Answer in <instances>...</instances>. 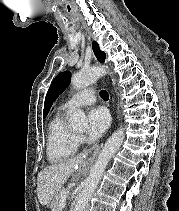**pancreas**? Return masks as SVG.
<instances>
[{
  "label": "pancreas",
  "mask_w": 179,
  "mask_h": 211,
  "mask_svg": "<svg viewBox=\"0 0 179 211\" xmlns=\"http://www.w3.org/2000/svg\"><path fill=\"white\" fill-rule=\"evenodd\" d=\"M63 191H68V189H62L60 191H58L55 196H54V199L52 201V204H51V208L53 209V211H59V208H60V204L62 203V199H61V193Z\"/></svg>",
  "instance_id": "1"
}]
</instances>
